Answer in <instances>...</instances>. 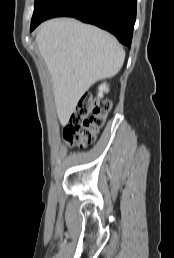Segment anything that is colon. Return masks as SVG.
Returning a JSON list of instances; mask_svg holds the SVG:
<instances>
[{
	"mask_svg": "<svg viewBox=\"0 0 174 258\" xmlns=\"http://www.w3.org/2000/svg\"><path fill=\"white\" fill-rule=\"evenodd\" d=\"M110 110L109 100H97L90 95L81 97L64 128L66 143L72 147L87 146L104 126Z\"/></svg>",
	"mask_w": 174,
	"mask_h": 258,
	"instance_id": "colon-1",
	"label": "colon"
}]
</instances>
